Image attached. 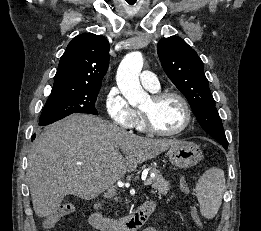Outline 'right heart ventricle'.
Here are the masks:
<instances>
[{
	"label": "right heart ventricle",
	"instance_id": "e07e8e85",
	"mask_svg": "<svg viewBox=\"0 0 261 231\" xmlns=\"http://www.w3.org/2000/svg\"><path fill=\"white\" fill-rule=\"evenodd\" d=\"M137 114H138V116H137V122H136V124H135V127H136L138 130H140V131H144V130H146V129H145V126H144V124H143L142 115H141V113H139V112H137Z\"/></svg>",
	"mask_w": 261,
	"mask_h": 231
}]
</instances>
